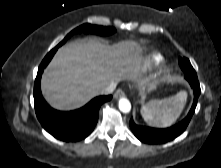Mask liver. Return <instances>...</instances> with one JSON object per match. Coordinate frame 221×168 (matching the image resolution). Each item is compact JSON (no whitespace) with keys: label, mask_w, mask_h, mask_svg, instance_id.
I'll use <instances>...</instances> for the list:
<instances>
[{"label":"liver","mask_w":221,"mask_h":168,"mask_svg":"<svg viewBox=\"0 0 221 168\" xmlns=\"http://www.w3.org/2000/svg\"><path fill=\"white\" fill-rule=\"evenodd\" d=\"M140 51L132 41L112 46L96 40L69 43L45 70L43 95L55 109L79 108L109 84L136 78L142 67Z\"/></svg>","instance_id":"obj_1"}]
</instances>
